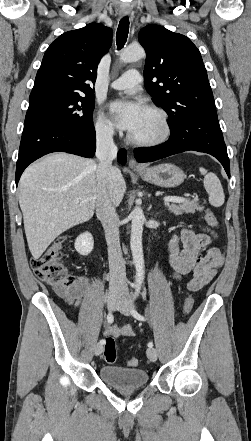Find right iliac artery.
I'll list each match as a JSON object with an SVG mask.
<instances>
[{"label":"right iliac artery","instance_id":"1","mask_svg":"<svg viewBox=\"0 0 251 441\" xmlns=\"http://www.w3.org/2000/svg\"><path fill=\"white\" fill-rule=\"evenodd\" d=\"M107 321H108V323H113V321H114V316H113V313L112 312H109L108 313V315H107ZM99 344H101V345H103V344H105V340L104 339H101L100 341H99Z\"/></svg>","mask_w":251,"mask_h":441}]
</instances>
